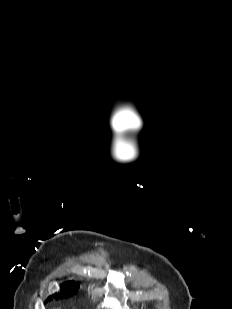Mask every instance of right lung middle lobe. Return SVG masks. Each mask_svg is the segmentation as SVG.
I'll return each mask as SVG.
<instances>
[{"mask_svg":"<svg viewBox=\"0 0 232 309\" xmlns=\"http://www.w3.org/2000/svg\"><path fill=\"white\" fill-rule=\"evenodd\" d=\"M76 291L74 290V285L73 286H68V287H61V293L59 295L63 296V297H70L72 296ZM54 296V295H53ZM55 299V298H54ZM48 300H50L48 298Z\"/></svg>","mask_w":232,"mask_h":309,"instance_id":"right-lung-middle-lobe-1","label":"right lung middle lobe"}]
</instances>
